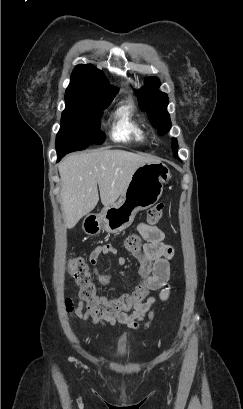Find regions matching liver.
<instances>
[{
  "instance_id": "obj_1",
  "label": "liver",
  "mask_w": 243,
  "mask_h": 409,
  "mask_svg": "<svg viewBox=\"0 0 243 409\" xmlns=\"http://www.w3.org/2000/svg\"><path fill=\"white\" fill-rule=\"evenodd\" d=\"M151 162L156 160L128 151L102 149L62 160L58 170L65 227L73 228L96 207L98 187L102 204L110 206L121 196L135 170Z\"/></svg>"
}]
</instances>
